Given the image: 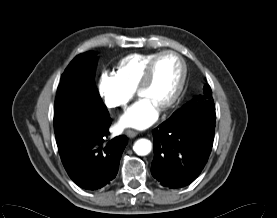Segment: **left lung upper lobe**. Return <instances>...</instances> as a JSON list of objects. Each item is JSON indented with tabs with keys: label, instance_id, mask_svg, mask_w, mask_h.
<instances>
[{
	"label": "left lung upper lobe",
	"instance_id": "5c2ea615",
	"mask_svg": "<svg viewBox=\"0 0 277 218\" xmlns=\"http://www.w3.org/2000/svg\"><path fill=\"white\" fill-rule=\"evenodd\" d=\"M215 111V104L209 84H205L203 94L193 98L182 108L173 113L171 117L186 116L195 112Z\"/></svg>",
	"mask_w": 277,
	"mask_h": 218
}]
</instances>
